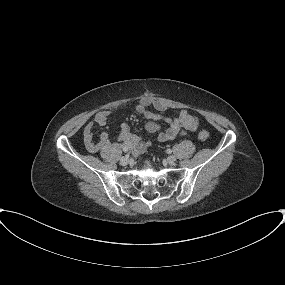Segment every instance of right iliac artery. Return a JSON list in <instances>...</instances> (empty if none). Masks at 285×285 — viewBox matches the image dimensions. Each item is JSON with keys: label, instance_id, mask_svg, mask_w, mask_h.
<instances>
[{"label": "right iliac artery", "instance_id": "right-iliac-artery-1", "mask_svg": "<svg viewBox=\"0 0 285 285\" xmlns=\"http://www.w3.org/2000/svg\"><path fill=\"white\" fill-rule=\"evenodd\" d=\"M123 151H124L125 153H128V149H127V148H124ZM126 156H129V154H127Z\"/></svg>", "mask_w": 285, "mask_h": 285}]
</instances>
